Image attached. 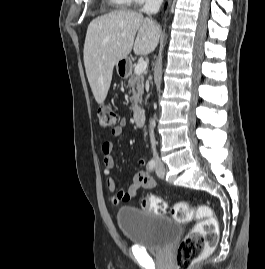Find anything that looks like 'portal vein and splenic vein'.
I'll return each mask as SVG.
<instances>
[{
	"instance_id": "18ae733b",
	"label": "portal vein and splenic vein",
	"mask_w": 265,
	"mask_h": 269,
	"mask_svg": "<svg viewBox=\"0 0 265 269\" xmlns=\"http://www.w3.org/2000/svg\"><path fill=\"white\" fill-rule=\"evenodd\" d=\"M147 68V62L146 61H139L135 67V74L140 75L142 74Z\"/></svg>"
}]
</instances>
